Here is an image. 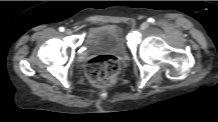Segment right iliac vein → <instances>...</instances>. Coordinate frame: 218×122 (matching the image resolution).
Instances as JSON below:
<instances>
[{
    "instance_id": "1",
    "label": "right iliac vein",
    "mask_w": 218,
    "mask_h": 122,
    "mask_svg": "<svg viewBox=\"0 0 218 122\" xmlns=\"http://www.w3.org/2000/svg\"><path fill=\"white\" fill-rule=\"evenodd\" d=\"M65 34L70 35V34H72V31L70 29H67V30H65Z\"/></svg>"
}]
</instances>
